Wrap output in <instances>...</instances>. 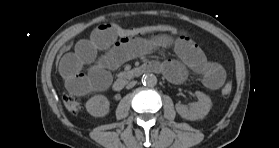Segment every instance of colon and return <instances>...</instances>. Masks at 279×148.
Masks as SVG:
<instances>
[{
  "mask_svg": "<svg viewBox=\"0 0 279 148\" xmlns=\"http://www.w3.org/2000/svg\"><path fill=\"white\" fill-rule=\"evenodd\" d=\"M111 30L120 38H135V37H143L149 36L153 34H157L159 32H177L179 28L171 25V24H154V25H144V26H136V27H122L115 23H108L107 25ZM71 44H67L63 47V51L60 56L62 57L65 53H67ZM232 92V83L227 82L222 88V96L229 97ZM63 102L66 109L72 113L77 114L81 110V99L75 95H65L63 97Z\"/></svg>",
  "mask_w": 279,
  "mask_h": 148,
  "instance_id": "1",
  "label": "colon"
}]
</instances>
